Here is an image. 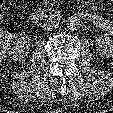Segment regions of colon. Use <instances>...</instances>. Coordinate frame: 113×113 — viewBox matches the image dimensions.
Returning a JSON list of instances; mask_svg holds the SVG:
<instances>
[{
  "label": "colon",
  "instance_id": "colon-1",
  "mask_svg": "<svg viewBox=\"0 0 113 113\" xmlns=\"http://www.w3.org/2000/svg\"><path fill=\"white\" fill-rule=\"evenodd\" d=\"M4 0H0V7ZM14 33L11 29L0 27V59L6 54L12 45Z\"/></svg>",
  "mask_w": 113,
  "mask_h": 113
}]
</instances>
